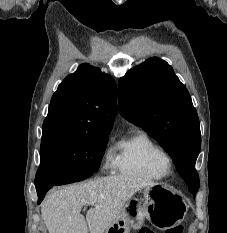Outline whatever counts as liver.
<instances>
[{
	"label": "liver",
	"mask_w": 227,
	"mask_h": 233,
	"mask_svg": "<svg viewBox=\"0 0 227 233\" xmlns=\"http://www.w3.org/2000/svg\"><path fill=\"white\" fill-rule=\"evenodd\" d=\"M157 185L139 176L115 175L71 185L50 193L41 207L49 233H104L139 190ZM91 207L86 218L81 209ZM93 206V205H91Z\"/></svg>",
	"instance_id": "obj_1"
}]
</instances>
